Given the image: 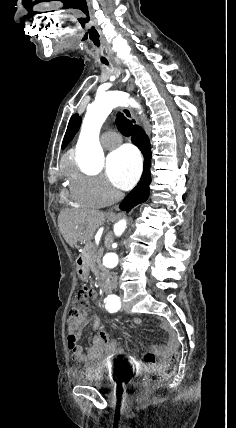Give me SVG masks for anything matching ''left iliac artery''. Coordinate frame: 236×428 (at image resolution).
<instances>
[{
    "instance_id": "left-iliac-artery-1",
    "label": "left iliac artery",
    "mask_w": 236,
    "mask_h": 428,
    "mask_svg": "<svg viewBox=\"0 0 236 428\" xmlns=\"http://www.w3.org/2000/svg\"><path fill=\"white\" fill-rule=\"evenodd\" d=\"M104 302L106 303V309L110 313L117 312L121 307L120 298L116 295H108V297L104 299Z\"/></svg>"
}]
</instances>
